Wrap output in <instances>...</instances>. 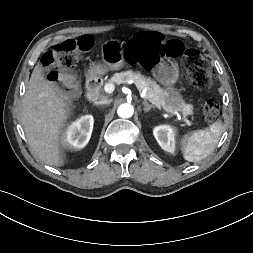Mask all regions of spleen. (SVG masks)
Wrapping results in <instances>:
<instances>
[{"mask_svg":"<svg viewBox=\"0 0 253 253\" xmlns=\"http://www.w3.org/2000/svg\"><path fill=\"white\" fill-rule=\"evenodd\" d=\"M223 131L221 121L210 125L207 130L193 132L191 135H185L181 140V150L185 160L189 162H198L211 154Z\"/></svg>","mask_w":253,"mask_h":253,"instance_id":"obj_1","label":"spleen"}]
</instances>
